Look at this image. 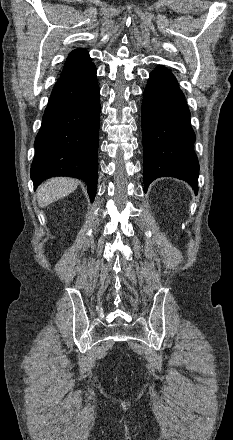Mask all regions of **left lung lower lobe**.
Listing matches in <instances>:
<instances>
[{
	"mask_svg": "<svg viewBox=\"0 0 233 440\" xmlns=\"http://www.w3.org/2000/svg\"><path fill=\"white\" fill-rule=\"evenodd\" d=\"M144 191L158 177L171 176L198 190L199 163L190 111L176 78L162 66L150 74L142 110Z\"/></svg>",
	"mask_w": 233,
	"mask_h": 440,
	"instance_id": "obj_1",
	"label": "left lung lower lobe"
}]
</instances>
